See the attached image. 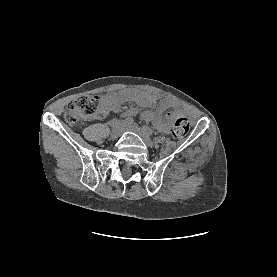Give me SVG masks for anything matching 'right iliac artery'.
<instances>
[{
    "mask_svg": "<svg viewBox=\"0 0 277 277\" xmlns=\"http://www.w3.org/2000/svg\"><path fill=\"white\" fill-rule=\"evenodd\" d=\"M125 122H126V124H133L134 120L132 117H127Z\"/></svg>",
    "mask_w": 277,
    "mask_h": 277,
    "instance_id": "obj_1",
    "label": "right iliac artery"
}]
</instances>
